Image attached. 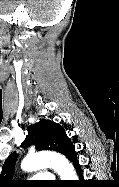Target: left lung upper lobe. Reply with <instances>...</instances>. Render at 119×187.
Returning a JSON list of instances; mask_svg holds the SVG:
<instances>
[{
    "label": "left lung upper lobe",
    "mask_w": 119,
    "mask_h": 187,
    "mask_svg": "<svg viewBox=\"0 0 119 187\" xmlns=\"http://www.w3.org/2000/svg\"><path fill=\"white\" fill-rule=\"evenodd\" d=\"M28 135L21 144L26 148L35 145L36 150H50L59 152L67 157L73 143L67 136L64 128L46 119H40L39 122L30 125L27 129ZM17 154L13 152L4 162L0 173V187L17 186L19 181L11 180Z\"/></svg>",
    "instance_id": "left-lung-upper-lobe-1"
}]
</instances>
